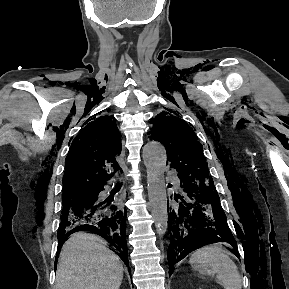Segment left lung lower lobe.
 <instances>
[{"mask_svg": "<svg viewBox=\"0 0 289 289\" xmlns=\"http://www.w3.org/2000/svg\"><path fill=\"white\" fill-rule=\"evenodd\" d=\"M179 178L180 192L171 196L174 202L168 207L169 273L175 263L203 246L201 240L214 238L213 242H228L237 247L215 187Z\"/></svg>", "mask_w": 289, "mask_h": 289, "instance_id": "1", "label": "left lung lower lobe"}]
</instances>
